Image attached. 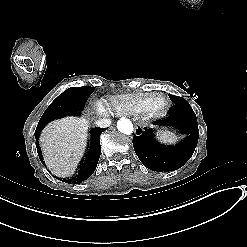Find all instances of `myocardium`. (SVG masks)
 Masks as SVG:
<instances>
[{"label": "myocardium", "instance_id": "obj_1", "mask_svg": "<svg viewBox=\"0 0 247 247\" xmlns=\"http://www.w3.org/2000/svg\"><path fill=\"white\" fill-rule=\"evenodd\" d=\"M166 99L164 96L159 94H154L150 97L146 110L151 113V115H158L166 106Z\"/></svg>", "mask_w": 247, "mask_h": 247}]
</instances>
